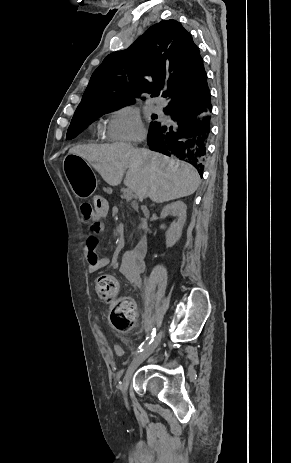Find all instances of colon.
Instances as JSON below:
<instances>
[{"mask_svg":"<svg viewBox=\"0 0 291 463\" xmlns=\"http://www.w3.org/2000/svg\"><path fill=\"white\" fill-rule=\"evenodd\" d=\"M106 202L101 197H95L91 202L81 205L84 223H90L95 217H106ZM96 292L99 298L108 302L109 316L114 327L119 331H128L135 323L137 311L135 303L119 295V284L115 276L100 275L96 280Z\"/></svg>","mask_w":291,"mask_h":463,"instance_id":"1","label":"colon"}]
</instances>
